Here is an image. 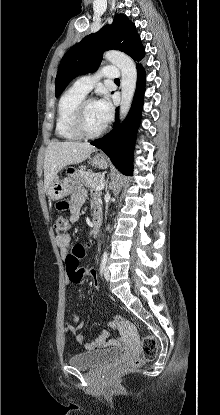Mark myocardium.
Masks as SVG:
<instances>
[{
    "mask_svg": "<svg viewBox=\"0 0 220 415\" xmlns=\"http://www.w3.org/2000/svg\"><path fill=\"white\" fill-rule=\"evenodd\" d=\"M94 102L92 98H84L74 109L71 117V127L73 131L81 138L93 139L102 135L106 129L104 125L96 132H88L84 126V111L89 103Z\"/></svg>",
    "mask_w": 220,
    "mask_h": 415,
    "instance_id": "obj_1",
    "label": "myocardium"
}]
</instances>
